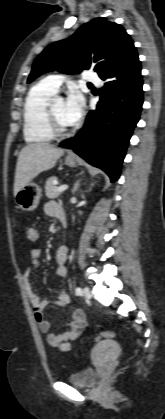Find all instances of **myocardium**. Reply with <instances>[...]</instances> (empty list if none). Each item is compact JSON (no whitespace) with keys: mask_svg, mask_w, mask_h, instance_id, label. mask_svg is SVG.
Returning <instances> with one entry per match:
<instances>
[{"mask_svg":"<svg viewBox=\"0 0 165 419\" xmlns=\"http://www.w3.org/2000/svg\"><path fill=\"white\" fill-rule=\"evenodd\" d=\"M53 102L54 101L50 100L46 108V118H47L49 129L51 130L52 134L55 137H65L72 134L75 130V126L72 125L68 128H64L60 125L54 113Z\"/></svg>","mask_w":165,"mask_h":419,"instance_id":"f54148a6","label":"myocardium"}]
</instances>
